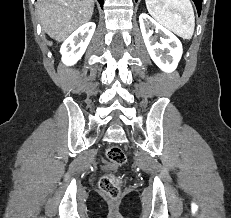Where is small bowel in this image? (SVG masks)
<instances>
[{
  "instance_id": "small-bowel-1",
  "label": "small bowel",
  "mask_w": 231,
  "mask_h": 218,
  "mask_svg": "<svg viewBox=\"0 0 231 218\" xmlns=\"http://www.w3.org/2000/svg\"><path fill=\"white\" fill-rule=\"evenodd\" d=\"M104 168H106V169H115V165L105 163Z\"/></svg>"
}]
</instances>
